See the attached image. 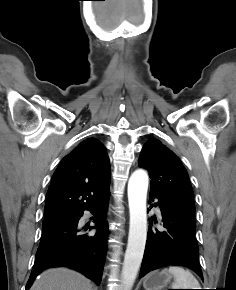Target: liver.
Listing matches in <instances>:
<instances>
[{
	"instance_id": "liver-1",
	"label": "liver",
	"mask_w": 236,
	"mask_h": 290,
	"mask_svg": "<svg viewBox=\"0 0 236 290\" xmlns=\"http://www.w3.org/2000/svg\"><path fill=\"white\" fill-rule=\"evenodd\" d=\"M30 290H94L89 279L68 268H52L41 273Z\"/></svg>"
}]
</instances>
